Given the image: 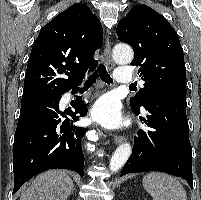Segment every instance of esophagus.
Listing matches in <instances>:
<instances>
[{
	"mask_svg": "<svg viewBox=\"0 0 201 200\" xmlns=\"http://www.w3.org/2000/svg\"><path fill=\"white\" fill-rule=\"evenodd\" d=\"M104 56H105V63L109 70H112L115 66L114 61L112 59L111 55V46H110V40L109 37H107L104 47ZM126 137L124 135H115L114 137V143L120 144L124 142Z\"/></svg>",
	"mask_w": 201,
	"mask_h": 200,
	"instance_id": "34e87169",
	"label": "esophagus"
}]
</instances>
